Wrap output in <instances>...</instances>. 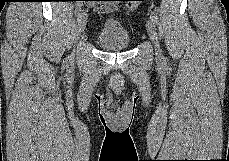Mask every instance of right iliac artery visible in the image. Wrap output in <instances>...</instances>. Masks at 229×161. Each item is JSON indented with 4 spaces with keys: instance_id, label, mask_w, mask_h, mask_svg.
<instances>
[{
    "instance_id": "right-iliac-artery-1",
    "label": "right iliac artery",
    "mask_w": 229,
    "mask_h": 161,
    "mask_svg": "<svg viewBox=\"0 0 229 161\" xmlns=\"http://www.w3.org/2000/svg\"><path fill=\"white\" fill-rule=\"evenodd\" d=\"M81 11H82V7H81V5L79 4V5L77 6V8H76V11H75L76 16H77L78 18L81 16Z\"/></svg>"
}]
</instances>
